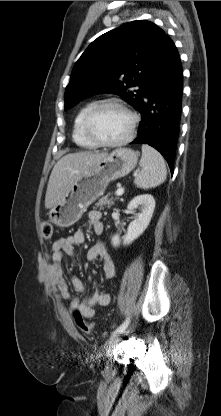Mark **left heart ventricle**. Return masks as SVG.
<instances>
[{
  "label": "left heart ventricle",
  "mask_w": 221,
  "mask_h": 416,
  "mask_svg": "<svg viewBox=\"0 0 221 416\" xmlns=\"http://www.w3.org/2000/svg\"><path fill=\"white\" fill-rule=\"evenodd\" d=\"M130 124V116L124 110L116 106H108L96 115L92 129L102 140L117 141L128 134Z\"/></svg>",
  "instance_id": "left-heart-ventricle-1"
}]
</instances>
